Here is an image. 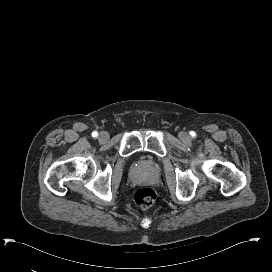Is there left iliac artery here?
Instances as JSON below:
<instances>
[{
  "label": "left iliac artery",
  "mask_w": 272,
  "mask_h": 272,
  "mask_svg": "<svg viewBox=\"0 0 272 272\" xmlns=\"http://www.w3.org/2000/svg\"><path fill=\"white\" fill-rule=\"evenodd\" d=\"M190 134H191V136H193V137L196 135L195 132H193V131H191Z\"/></svg>",
  "instance_id": "44dca946"
}]
</instances>
